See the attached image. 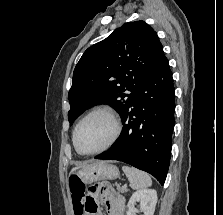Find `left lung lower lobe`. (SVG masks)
<instances>
[{"label":"left lung lower lobe","instance_id":"0a47b994","mask_svg":"<svg viewBox=\"0 0 223 215\" xmlns=\"http://www.w3.org/2000/svg\"><path fill=\"white\" fill-rule=\"evenodd\" d=\"M174 86L167 58L144 80L122 117L115 143L96 159L118 160L153 175L164 184L170 163Z\"/></svg>","mask_w":223,"mask_h":215}]
</instances>
